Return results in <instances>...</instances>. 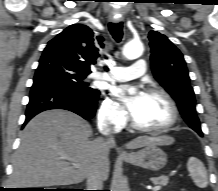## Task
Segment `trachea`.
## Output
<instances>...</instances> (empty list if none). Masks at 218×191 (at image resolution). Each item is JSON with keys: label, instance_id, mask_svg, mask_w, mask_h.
<instances>
[{"label": "trachea", "instance_id": "1", "mask_svg": "<svg viewBox=\"0 0 218 191\" xmlns=\"http://www.w3.org/2000/svg\"><path fill=\"white\" fill-rule=\"evenodd\" d=\"M109 31L113 38L117 41L120 42L123 36V26L122 23H109Z\"/></svg>", "mask_w": 218, "mask_h": 191}]
</instances>
